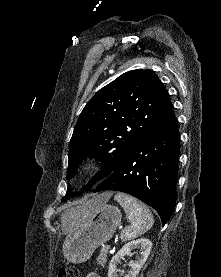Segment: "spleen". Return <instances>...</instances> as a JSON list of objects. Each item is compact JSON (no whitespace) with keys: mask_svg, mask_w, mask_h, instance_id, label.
<instances>
[{"mask_svg":"<svg viewBox=\"0 0 221 277\" xmlns=\"http://www.w3.org/2000/svg\"><path fill=\"white\" fill-rule=\"evenodd\" d=\"M114 199L122 206L130 222L120 234L122 241L137 238L153 226V215L144 203L121 192L117 193Z\"/></svg>","mask_w":221,"mask_h":277,"instance_id":"spleen-1","label":"spleen"}]
</instances>
